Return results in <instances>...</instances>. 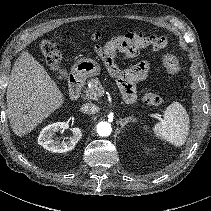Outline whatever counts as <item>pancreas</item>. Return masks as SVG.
I'll return each mask as SVG.
<instances>
[{"instance_id":"cf45deb5","label":"pancreas","mask_w":211,"mask_h":211,"mask_svg":"<svg viewBox=\"0 0 211 211\" xmlns=\"http://www.w3.org/2000/svg\"><path fill=\"white\" fill-rule=\"evenodd\" d=\"M84 92L87 99L97 101L104 95L105 90L98 78H92L88 81V87Z\"/></svg>"}]
</instances>
